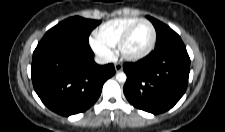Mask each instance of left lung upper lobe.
<instances>
[{
    "instance_id": "5c2ea615",
    "label": "left lung upper lobe",
    "mask_w": 225,
    "mask_h": 132,
    "mask_svg": "<svg viewBox=\"0 0 225 132\" xmlns=\"http://www.w3.org/2000/svg\"><path fill=\"white\" fill-rule=\"evenodd\" d=\"M147 18L153 23L156 33H157V40L155 48L160 47L162 45L181 41L179 35L173 31L169 26L165 25L164 23L147 16Z\"/></svg>"
}]
</instances>
